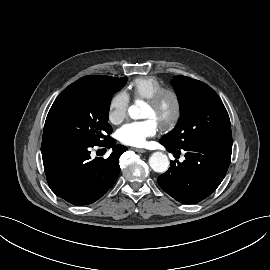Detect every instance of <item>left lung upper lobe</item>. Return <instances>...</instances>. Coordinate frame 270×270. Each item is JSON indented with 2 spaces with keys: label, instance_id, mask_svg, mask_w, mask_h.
Wrapping results in <instances>:
<instances>
[{
  "label": "left lung upper lobe",
  "instance_id": "obj_1",
  "mask_svg": "<svg viewBox=\"0 0 270 270\" xmlns=\"http://www.w3.org/2000/svg\"><path fill=\"white\" fill-rule=\"evenodd\" d=\"M171 83L179 100L181 117L174 131L161 141L176 149L197 141L232 143L229 115L211 87L182 75Z\"/></svg>",
  "mask_w": 270,
  "mask_h": 270
}]
</instances>
